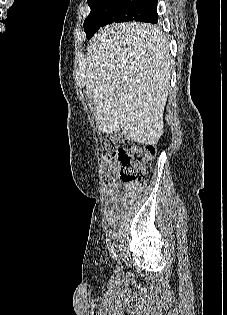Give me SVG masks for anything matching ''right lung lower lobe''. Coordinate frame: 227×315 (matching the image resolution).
Returning <instances> with one entry per match:
<instances>
[{"mask_svg": "<svg viewBox=\"0 0 227 315\" xmlns=\"http://www.w3.org/2000/svg\"><path fill=\"white\" fill-rule=\"evenodd\" d=\"M157 19H158V14L156 15V22H157Z\"/></svg>", "mask_w": 227, "mask_h": 315, "instance_id": "98d812e1", "label": "right lung lower lobe"}]
</instances>
